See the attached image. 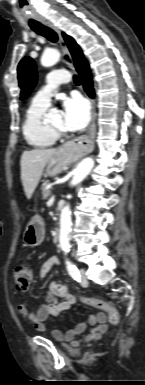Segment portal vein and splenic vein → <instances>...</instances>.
I'll use <instances>...</instances> for the list:
<instances>
[{
  "label": "portal vein and splenic vein",
  "instance_id": "portal-vein-and-splenic-vein-1",
  "mask_svg": "<svg viewBox=\"0 0 145 385\" xmlns=\"http://www.w3.org/2000/svg\"><path fill=\"white\" fill-rule=\"evenodd\" d=\"M53 201H54V195H53V196H51V198H50L49 202H53Z\"/></svg>",
  "mask_w": 145,
  "mask_h": 385
}]
</instances>
